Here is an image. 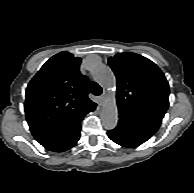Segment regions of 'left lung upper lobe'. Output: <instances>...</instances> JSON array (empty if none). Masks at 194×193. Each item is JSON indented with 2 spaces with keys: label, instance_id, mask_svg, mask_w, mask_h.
<instances>
[{
  "label": "left lung upper lobe",
  "instance_id": "1",
  "mask_svg": "<svg viewBox=\"0 0 194 193\" xmlns=\"http://www.w3.org/2000/svg\"><path fill=\"white\" fill-rule=\"evenodd\" d=\"M108 63L117 78L119 112L160 126L169 106V85L159 67L131 52L110 57Z\"/></svg>",
  "mask_w": 194,
  "mask_h": 193
}]
</instances>
